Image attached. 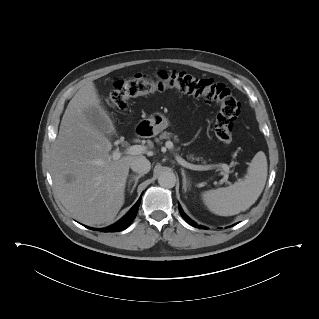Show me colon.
Returning a JSON list of instances; mask_svg holds the SVG:
<instances>
[{"mask_svg": "<svg viewBox=\"0 0 319 319\" xmlns=\"http://www.w3.org/2000/svg\"><path fill=\"white\" fill-rule=\"evenodd\" d=\"M113 86L108 105L119 111L127 110L129 101L133 98L172 88L214 103L219 108L214 122V133L224 143L232 141L233 122L240 113V104L224 84L173 71L159 72L154 76L140 73L130 79H117Z\"/></svg>", "mask_w": 319, "mask_h": 319, "instance_id": "obj_1", "label": "colon"}]
</instances>
